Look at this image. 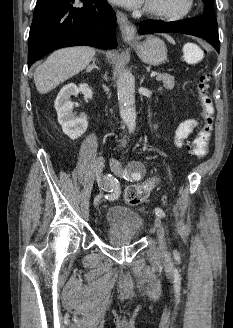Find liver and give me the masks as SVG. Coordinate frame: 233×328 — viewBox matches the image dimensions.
I'll return each mask as SVG.
<instances>
[{"mask_svg":"<svg viewBox=\"0 0 233 328\" xmlns=\"http://www.w3.org/2000/svg\"><path fill=\"white\" fill-rule=\"evenodd\" d=\"M95 53L94 48L87 46L63 48L53 52L34 72L37 91L41 94L48 93L84 70Z\"/></svg>","mask_w":233,"mask_h":328,"instance_id":"liver-1","label":"liver"}]
</instances>
